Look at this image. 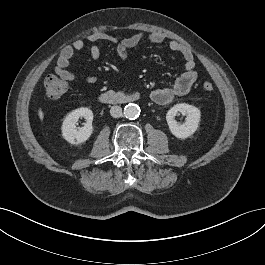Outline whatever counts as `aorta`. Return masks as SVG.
<instances>
[{"mask_svg":"<svg viewBox=\"0 0 265 265\" xmlns=\"http://www.w3.org/2000/svg\"><path fill=\"white\" fill-rule=\"evenodd\" d=\"M140 115V107L137 104L129 103L124 107V116L128 119H136Z\"/></svg>","mask_w":265,"mask_h":265,"instance_id":"1","label":"aorta"}]
</instances>
